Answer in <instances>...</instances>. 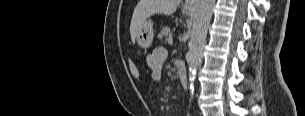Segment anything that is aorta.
<instances>
[{
    "instance_id": "762f6f07",
    "label": "aorta",
    "mask_w": 305,
    "mask_h": 116,
    "mask_svg": "<svg viewBox=\"0 0 305 116\" xmlns=\"http://www.w3.org/2000/svg\"><path fill=\"white\" fill-rule=\"evenodd\" d=\"M214 6L215 0H198L196 4L187 59L189 66L190 90L192 93L194 90L193 83L196 78L202 47L205 43Z\"/></svg>"
}]
</instances>
